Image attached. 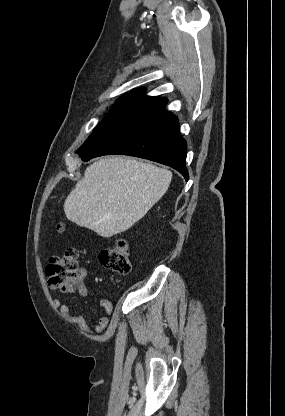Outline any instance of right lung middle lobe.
<instances>
[{"label": "right lung middle lobe", "instance_id": "dd1d6c3e", "mask_svg": "<svg viewBox=\"0 0 285 416\" xmlns=\"http://www.w3.org/2000/svg\"><path fill=\"white\" fill-rule=\"evenodd\" d=\"M161 110L162 107L158 104L136 96L124 95L117 100L113 111L93 130L76 153L86 151L104 139Z\"/></svg>", "mask_w": 285, "mask_h": 416}]
</instances>
